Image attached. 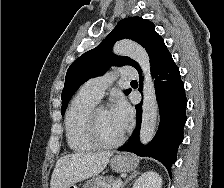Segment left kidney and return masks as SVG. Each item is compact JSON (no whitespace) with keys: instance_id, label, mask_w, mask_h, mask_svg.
Here are the masks:
<instances>
[{"instance_id":"5707ae66","label":"left kidney","mask_w":224,"mask_h":188,"mask_svg":"<svg viewBox=\"0 0 224 188\" xmlns=\"http://www.w3.org/2000/svg\"><path fill=\"white\" fill-rule=\"evenodd\" d=\"M162 178L154 171L143 173L134 183L133 188H161Z\"/></svg>"}]
</instances>
